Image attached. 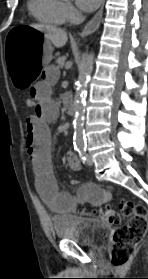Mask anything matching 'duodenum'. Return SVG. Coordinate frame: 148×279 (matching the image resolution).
I'll use <instances>...</instances> for the list:
<instances>
[{
    "label": "duodenum",
    "instance_id": "obj_1",
    "mask_svg": "<svg viewBox=\"0 0 148 279\" xmlns=\"http://www.w3.org/2000/svg\"><path fill=\"white\" fill-rule=\"evenodd\" d=\"M63 106L68 114L71 115L74 114L75 112L74 102L69 95L63 97Z\"/></svg>",
    "mask_w": 148,
    "mask_h": 279
}]
</instances>
